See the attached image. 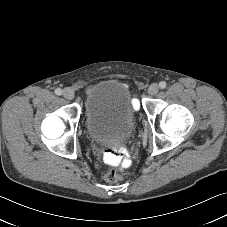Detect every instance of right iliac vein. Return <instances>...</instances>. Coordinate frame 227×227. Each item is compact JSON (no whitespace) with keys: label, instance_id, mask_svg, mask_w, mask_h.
<instances>
[{"label":"right iliac vein","instance_id":"1","mask_svg":"<svg viewBox=\"0 0 227 227\" xmlns=\"http://www.w3.org/2000/svg\"><path fill=\"white\" fill-rule=\"evenodd\" d=\"M63 96L68 100H72L75 96L74 91L71 88H65L63 90Z\"/></svg>","mask_w":227,"mask_h":227}]
</instances>
